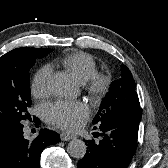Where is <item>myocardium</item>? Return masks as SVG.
Segmentation results:
<instances>
[{"label": "myocardium", "instance_id": "f54148a6", "mask_svg": "<svg viewBox=\"0 0 168 168\" xmlns=\"http://www.w3.org/2000/svg\"><path fill=\"white\" fill-rule=\"evenodd\" d=\"M84 85L90 95L100 100L109 92L111 80L108 75L96 72Z\"/></svg>", "mask_w": 168, "mask_h": 168}]
</instances>
